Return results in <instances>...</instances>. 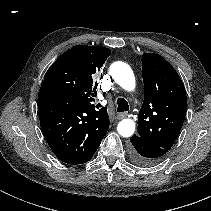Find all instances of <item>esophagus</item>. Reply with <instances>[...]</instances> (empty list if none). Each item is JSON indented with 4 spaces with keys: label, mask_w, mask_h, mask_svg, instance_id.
Masks as SVG:
<instances>
[{
    "label": "esophagus",
    "mask_w": 211,
    "mask_h": 211,
    "mask_svg": "<svg viewBox=\"0 0 211 211\" xmlns=\"http://www.w3.org/2000/svg\"><path fill=\"white\" fill-rule=\"evenodd\" d=\"M126 116H127V113L122 112V113H118L117 116H116V118L120 120V119L125 118Z\"/></svg>",
    "instance_id": "obj_1"
}]
</instances>
